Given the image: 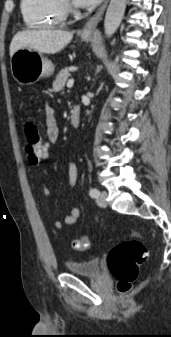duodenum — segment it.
I'll return each instance as SVG.
<instances>
[{
    "label": "duodenum",
    "mask_w": 171,
    "mask_h": 337,
    "mask_svg": "<svg viewBox=\"0 0 171 337\" xmlns=\"http://www.w3.org/2000/svg\"><path fill=\"white\" fill-rule=\"evenodd\" d=\"M71 124L73 127H78L80 124V108L79 106H73L70 115Z\"/></svg>",
    "instance_id": "1"
}]
</instances>
